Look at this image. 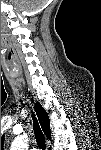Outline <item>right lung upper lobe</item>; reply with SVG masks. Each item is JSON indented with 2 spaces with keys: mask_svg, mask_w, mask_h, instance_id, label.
Returning a JSON list of instances; mask_svg holds the SVG:
<instances>
[{
  "mask_svg": "<svg viewBox=\"0 0 101 150\" xmlns=\"http://www.w3.org/2000/svg\"><path fill=\"white\" fill-rule=\"evenodd\" d=\"M35 111L39 118L44 134L46 135V137L50 139L51 137H50V130H49L50 128L49 117L39 102L35 104ZM3 140H4V137L1 139V147L3 145Z\"/></svg>",
  "mask_w": 101,
  "mask_h": 150,
  "instance_id": "right-lung-upper-lobe-1",
  "label": "right lung upper lobe"
}]
</instances>
